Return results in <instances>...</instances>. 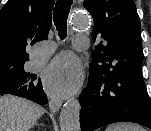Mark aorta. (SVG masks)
<instances>
[{
	"instance_id": "1",
	"label": "aorta",
	"mask_w": 151,
	"mask_h": 131,
	"mask_svg": "<svg viewBox=\"0 0 151 131\" xmlns=\"http://www.w3.org/2000/svg\"><path fill=\"white\" fill-rule=\"evenodd\" d=\"M72 26L84 29L88 26L89 20L85 15H75ZM59 123L61 131H80V104L75 98L68 99L60 112Z\"/></svg>"
}]
</instances>
